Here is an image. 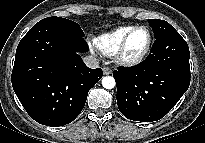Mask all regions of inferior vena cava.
Here are the masks:
<instances>
[{
    "label": "inferior vena cava",
    "mask_w": 205,
    "mask_h": 143,
    "mask_svg": "<svg viewBox=\"0 0 205 143\" xmlns=\"http://www.w3.org/2000/svg\"><path fill=\"white\" fill-rule=\"evenodd\" d=\"M83 61H84L85 65L91 69H95V68L99 67V60L92 55L85 56L83 58Z\"/></svg>",
    "instance_id": "602c4592"
}]
</instances>
